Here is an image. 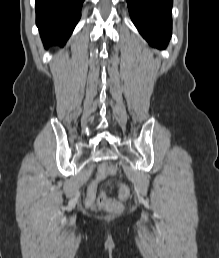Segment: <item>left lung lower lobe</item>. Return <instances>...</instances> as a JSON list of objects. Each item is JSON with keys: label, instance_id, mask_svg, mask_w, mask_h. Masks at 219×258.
<instances>
[{"label": "left lung lower lobe", "instance_id": "1", "mask_svg": "<svg viewBox=\"0 0 219 258\" xmlns=\"http://www.w3.org/2000/svg\"><path fill=\"white\" fill-rule=\"evenodd\" d=\"M131 19L153 47L165 49L172 33L173 0H126Z\"/></svg>", "mask_w": 219, "mask_h": 258}]
</instances>
